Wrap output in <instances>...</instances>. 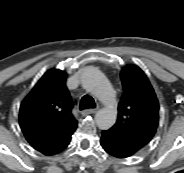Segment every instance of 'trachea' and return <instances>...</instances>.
I'll use <instances>...</instances> for the list:
<instances>
[{"instance_id":"1","label":"trachea","mask_w":184,"mask_h":173,"mask_svg":"<svg viewBox=\"0 0 184 173\" xmlns=\"http://www.w3.org/2000/svg\"><path fill=\"white\" fill-rule=\"evenodd\" d=\"M96 104L94 99L89 95H84L80 101V110L95 108Z\"/></svg>"}]
</instances>
